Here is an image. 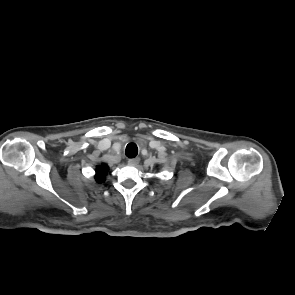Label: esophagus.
Listing matches in <instances>:
<instances>
[{"label": "esophagus", "instance_id": "1", "mask_svg": "<svg viewBox=\"0 0 295 295\" xmlns=\"http://www.w3.org/2000/svg\"><path fill=\"white\" fill-rule=\"evenodd\" d=\"M140 159L139 158H131L128 160V163L130 165H137L139 163Z\"/></svg>", "mask_w": 295, "mask_h": 295}]
</instances>
